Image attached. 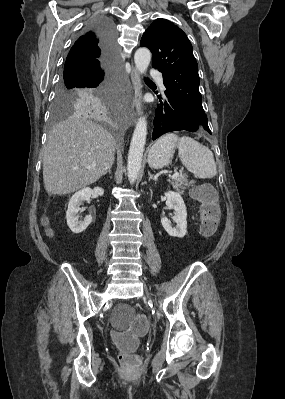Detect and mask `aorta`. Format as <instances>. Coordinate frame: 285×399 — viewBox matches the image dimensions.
Masks as SVG:
<instances>
[{
  "label": "aorta",
  "mask_w": 285,
  "mask_h": 399,
  "mask_svg": "<svg viewBox=\"0 0 285 399\" xmlns=\"http://www.w3.org/2000/svg\"><path fill=\"white\" fill-rule=\"evenodd\" d=\"M151 61V52L148 48H139L134 55V62L136 69L140 74L146 72ZM147 137V121L144 116L140 117L136 123V127L131 139L128 160H127V170L128 179L131 184L135 183L137 180L141 162L143 157V152L145 149Z\"/></svg>",
  "instance_id": "762f6f07"
}]
</instances>
